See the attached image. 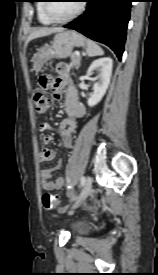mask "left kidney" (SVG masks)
Segmentation results:
<instances>
[{"mask_svg": "<svg viewBox=\"0 0 158 275\" xmlns=\"http://www.w3.org/2000/svg\"><path fill=\"white\" fill-rule=\"evenodd\" d=\"M113 60L110 57H102L92 62L88 68L87 74L90 75L94 71L100 72L99 80L94 84L93 93L88 99L89 106L98 104L106 93L110 83L112 74Z\"/></svg>", "mask_w": 158, "mask_h": 275, "instance_id": "left-kidney-1", "label": "left kidney"}]
</instances>
